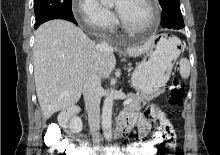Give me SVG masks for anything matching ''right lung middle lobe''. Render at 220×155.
<instances>
[{
	"label": "right lung middle lobe",
	"mask_w": 220,
	"mask_h": 155,
	"mask_svg": "<svg viewBox=\"0 0 220 155\" xmlns=\"http://www.w3.org/2000/svg\"><path fill=\"white\" fill-rule=\"evenodd\" d=\"M71 0H34L36 22L53 14L73 16Z\"/></svg>",
	"instance_id": "dd1d6c3e"
}]
</instances>
